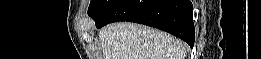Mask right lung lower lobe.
<instances>
[{"label": "right lung lower lobe", "instance_id": "1", "mask_svg": "<svg viewBox=\"0 0 261 59\" xmlns=\"http://www.w3.org/2000/svg\"><path fill=\"white\" fill-rule=\"evenodd\" d=\"M193 6L189 0H116L95 20L97 28L117 21L136 22L171 33L194 45Z\"/></svg>", "mask_w": 261, "mask_h": 59}]
</instances>
